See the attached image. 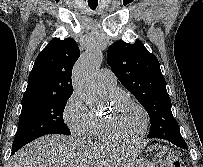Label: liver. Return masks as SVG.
Listing matches in <instances>:
<instances>
[{"label":"liver","mask_w":203,"mask_h":167,"mask_svg":"<svg viewBox=\"0 0 203 167\" xmlns=\"http://www.w3.org/2000/svg\"><path fill=\"white\" fill-rule=\"evenodd\" d=\"M135 157L116 146L47 135L16 152L8 167H130Z\"/></svg>","instance_id":"6515ba94"}]
</instances>
